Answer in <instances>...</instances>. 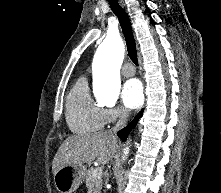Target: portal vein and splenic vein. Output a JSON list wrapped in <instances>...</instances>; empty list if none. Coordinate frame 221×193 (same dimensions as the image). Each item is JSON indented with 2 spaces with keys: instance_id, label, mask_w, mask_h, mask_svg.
I'll list each match as a JSON object with an SVG mask.
<instances>
[{
  "instance_id": "portal-vein-and-splenic-vein-1",
  "label": "portal vein and splenic vein",
  "mask_w": 221,
  "mask_h": 193,
  "mask_svg": "<svg viewBox=\"0 0 221 193\" xmlns=\"http://www.w3.org/2000/svg\"><path fill=\"white\" fill-rule=\"evenodd\" d=\"M102 175V167H97L94 172L93 176Z\"/></svg>"
}]
</instances>
